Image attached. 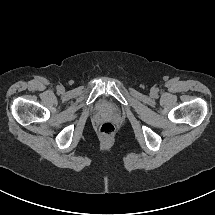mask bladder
<instances>
[{"label": "bladder", "instance_id": "1", "mask_svg": "<svg viewBox=\"0 0 215 215\" xmlns=\"http://www.w3.org/2000/svg\"><path fill=\"white\" fill-rule=\"evenodd\" d=\"M100 109H101L102 111H109V110H110V107L108 106V104L102 103V104L100 105Z\"/></svg>", "mask_w": 215, "mask_h": 215}]
</instances>
